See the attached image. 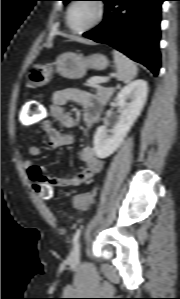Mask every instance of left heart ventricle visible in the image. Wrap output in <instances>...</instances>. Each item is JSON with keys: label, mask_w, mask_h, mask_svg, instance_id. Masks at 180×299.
Wrapping results in <instances>:
<instances>
[{"label": "left heart ventricle", "mask_w": 180, "mask_h": 299, "mask_svg": "<svg viewBox=\"0 0 180 299\" xmlns=\"http://www.w3.org/2000/svg\"><path fill=\"white\" fill-rule=\"evenodd\" d=\"M97 9L93 2L77 3L70 13V24L75 29H81L90 24L96 17Z\"/></svg>", "instance_id": "obj_1"}]
</instances>
